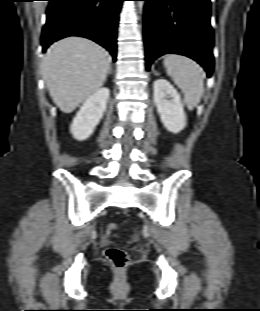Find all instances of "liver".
Wrapping results in <instances>:
<instances>
[{"label":"liver","mask_w":260,"mask_h":311,"mask_svg":"<svg viewBox=\"0 0 260 311\" xmlns=\"http://www.w3.org/2000/svg\"><path fill=\"white\" fill-rule=\"evenodd\" d=\"M108 53L95 42L68 37L54 43L42 61V74L53 102L71 113L106 80Z\"/></svg>","instance_id":"obj_1"}]
</instances>
